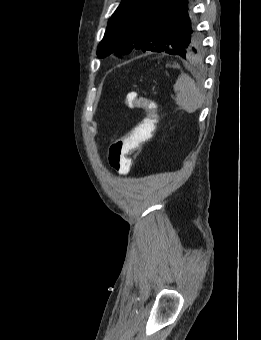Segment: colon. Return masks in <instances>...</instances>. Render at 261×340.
<instances>
[{"label": "colon", "mask_w": 261, "mask_h": 340, "mask_svg": "<svg viewBox=\"0 0 261 340\" xmlns=\"http://www.w3.org/2000/svg\"><path fill=\"white\" fill-rule=\"evenodd\" d=\"M125 105L128 108L144 110L146 116L109 146L108 162L119 172H127L130 169L132 162L128 156L150 139L158 122V103L154 99L140 97L136 92H130L125 99Z\"/></svg>", "instance_id": "obj_1"}]
</instances>
